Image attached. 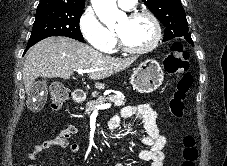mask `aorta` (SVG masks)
Segmentation results:
<instances>
[{
    "mask_svg": "<svg viewBox=\"0 0 227 166\" xmlns=\"http://www.w3.org/2000/svg\"><path fill=\"white\" fill-rule=\"evenodd\" d=\"M91 3L100 21L108 27L126 18V14L117 8L116 0H91Z\"/></svg>",
    "mask_w": 227,
    "mask_h": 166,
    "instance_id": "1",
    "label": "aorta"
}]
</instances>
